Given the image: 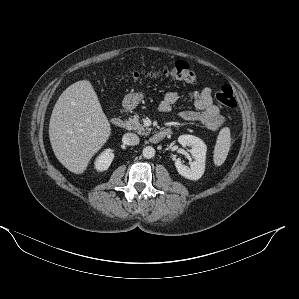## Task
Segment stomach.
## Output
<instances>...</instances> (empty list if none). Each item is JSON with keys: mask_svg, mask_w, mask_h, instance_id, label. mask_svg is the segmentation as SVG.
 Wrapping results in <instances>:
<instances>
[{"mask_svg": "<svg viewBox=\"0 0 299 299\" xmlns=\"http://www.w3.org/2000/svg\"><path fill=\"white\" fill-rule=\"evenodd\" d=\"M142 99H143V94L142 93L130 94L127 98V101H126V107L128 109H133L140 103V101Z\"/></svg>", "mask_w": 299, "mask_h": 299, "instance_id": "0dacf381", "label": "stomach"}]
</instances>
